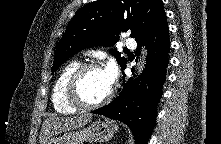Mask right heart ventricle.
Here are the masks:
<instances>
[{"instance_id":"1","label":"right heart ventricle","mask_w":221,"mask_h":144,"mask_svg":"<svg viewBox=\"0 0 221 144\" xmlns=\"http://www.w3.org/2000/svg\"><path fill=\"white\" fill-rule=\"evenodd\" d=\"M80 61L72 60L67 63L59 73L52 90V104L54 109L61 114H73L78 109L72 106L67 98L65 87L73 71L80 65Z\"/></svg>"}]
</instances>
